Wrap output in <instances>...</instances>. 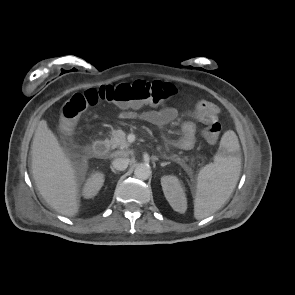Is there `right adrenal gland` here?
Masks as SVG:
<instances>
[{"instance_id": "right-adrenal-gland-1", "label": "right adrenal gland", "mask_w": 295, "mask_h": 295, "mask_svg": "<svg viewBox=\"0 0 295 295\" xmlns=\"http://www.w3.org/2000/svg\"><path fill=\"white\" fill-rule=\"evenodd\" d=\"M110 169L113 173L117 174V171L112 166H110Z\"/></svg>"}]
</instances>
